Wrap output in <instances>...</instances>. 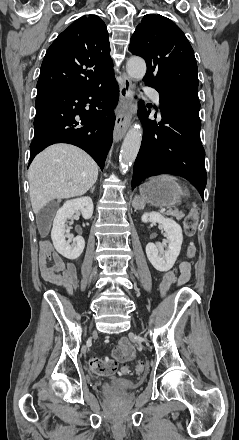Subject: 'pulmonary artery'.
<instances>
[{"label": "pulmonary artery", "mask_w": 239, "mask_h": 440, "mask_svg": "<svg viewBox=\"0 0 239 440\" xmlns=\"http://www.w3.org/2000/svg\"><path fill=\"white\" fill-rule=\"evenodd\" d=\"M151 95H152V98H153V100L155 101V103H156L157 105H159V103H160V97H159V94H158L156 91H153Z\"/></svg>", "instance_id": "pulmonary-artery-1"}]
</instances>
